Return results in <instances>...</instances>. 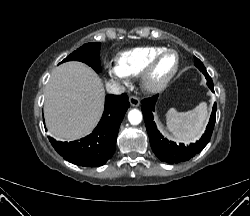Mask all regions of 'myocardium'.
<instances>
[{"mask_svg":"<svg viewBox=\"0 0 250 216\" xmlns=\"http://www.w3.org/2000/svg\"><path fill=\"white\" fill-rule=\"evenodd\" d=\"M167 54H173L175 56L176 58L175 66L166 78H164L162 81L156 82L153 80L154 70L159 60ZM179 67H180V56L178 52L173 49L162 50L161 52L157 53L151 58V60L148 62L143 72L141 73V82L143 88L149 93H159L163 91L176 76Z\"/></svg>","mask_w":250,"mask_h":216,"instance_id":"f54148a6","label":"myocardium"}]
</instances>
